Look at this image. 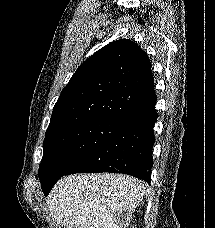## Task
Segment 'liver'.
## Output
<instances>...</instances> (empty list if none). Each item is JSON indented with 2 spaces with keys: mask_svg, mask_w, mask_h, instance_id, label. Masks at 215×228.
Wrapping results in <instances>:
<instances>
[{
  "mask_svg": "<svg viewBox=\"0 0 215 228\" xmlns=\"http://www.w3.org/2000/svg\"><path fill=\"white\" fill-rule=\"evenodd\" d=\"M145 192L133 176L73 174L55 184L46 204L61 228H128Z\"/></svg>",
  "mask_w": 215,
  "mask_h": 228,
  "instance_id": "6515ba94",
  "label": "liver"
}]
</instances>
